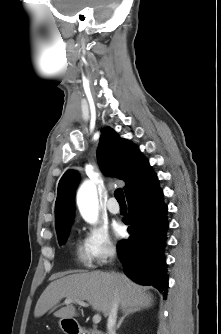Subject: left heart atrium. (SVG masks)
<instances>
[{"mask_svg":"<svg viewBox=\"0 0 221 334\" xmlns=\"http://www.w3.org/2000/svg\"><path fill=\"white\" fill-rule=\"evenodd\" d=\"M113 231L117 237H121L123 235L124 229L120 224H115L113 227Z\"/></svg>","mask_w":221,"mask_h":334,"instance_id":"1","label":"left heart atrium"}]
</instances>
